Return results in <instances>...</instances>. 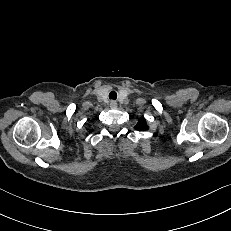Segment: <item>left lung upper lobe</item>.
Listing matches in <instances>:
<instances>
[{
  "mask_svg": "<svg viewBox=\"0 0 231 231\" xmlns=\"http://www.w3.org/2000/svg\"><path fill=\"white\" fill-rule=\"evenodd\" d=\"M136 130L145 131L148 129V126L146 125V120L144 118L139 119V122L134 127Z\"/></svg>",
  "mask_w": 231,
  "mask_h": 231,
  "instance_id": "1",
  "label": "left lung upper lobe"
}]
</instances>
